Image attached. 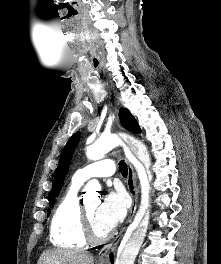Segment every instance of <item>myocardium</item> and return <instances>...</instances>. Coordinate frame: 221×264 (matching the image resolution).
<instances>
[{
	"label": "myocardium",
	"mask_w": 221,
	"mask_h": 264,
	"mask_svg": "<svg viewBox=\"0 0 221 264\" xmlns=\"http://www.w3.org/2000/svg\"><path fill=\"white\" fill-rule=\"evenodd\" d=\"M80 223H81L82 234L87 242H91V243L104 242L108 240L112 235V230H109L107 233L103 235H98L95 233L84 204L80 205Z\"/></svg>",
	"instance_id": "f54148a6"
}]
</instances>
